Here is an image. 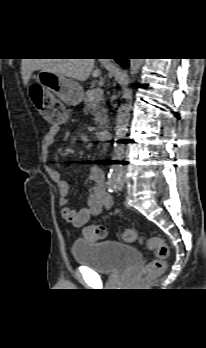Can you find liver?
<instances>
[{
    "instance_id": "obj_1",
    "label": "liver",
    "mask_w": 206,
    "mask_h": 348,
    "mask_svg": "<svg viewBox=\"0 0 206 348\" xmlns=\"http://www.w3.org/2000/svg\"><path fill=\"white\" fill-rule=\"evenodd\" d=\"M95 59H23L21 75L25 86L34 71L45 70L57 75L86 81L90 75L97 78L101 75L100 69L94 68Z\"/></svg>"
}]
</instances>
